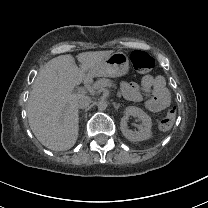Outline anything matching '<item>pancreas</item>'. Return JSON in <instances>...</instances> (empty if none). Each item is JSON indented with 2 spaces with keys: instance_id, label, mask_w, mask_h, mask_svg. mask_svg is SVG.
Returning a JSON list of instances; mask_svg holds the SVG:
<instances>
[{
  "instance_id": "obj_1",
  "label": "pancreas",
  "mask_w": 208,
  "mask_h": 208,
  "mask_svg": "<svg viewBox=\"0 0 208 208\" xmlns=\"http://www.w3.org/2000/svg\"><path fill=\"white\" fill-rule=\"evenodd\" d=\"M96 83H99L101 85V87H103L107 84H109L110 86H113V87L115 86V84H113L111 80L105 79V78L99 79Z\"/></svg>"
}]
</instances>
